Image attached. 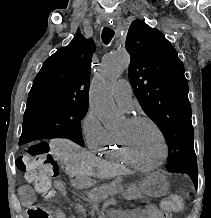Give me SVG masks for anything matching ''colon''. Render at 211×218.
I'll return each mask as SVG.
<instances>
[{
	"instance_id": "5ec220e1",
	"label": "colon",
	"mask_w": 211,
	"mask_h": 218,
	"mask_svg": "<svg viewBox=\"0 0 211 218\" xmlns=\"http://www.w3.org/2000/svg\"><path fill=\"white\" fill-rule=\"evenodd\" d=\"M18 170L24 172L26 180L45 197H52L53 180L58 175V166L48 145L42 141L31 142L26 152L16 161ZM182 206L180 196H172L163 202L165 210L176 211ZM53 213L41 206L32 205L28 209V218H53Z\"/></svg>"
}]
</instances>
